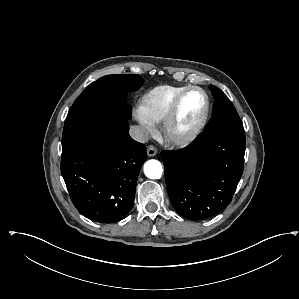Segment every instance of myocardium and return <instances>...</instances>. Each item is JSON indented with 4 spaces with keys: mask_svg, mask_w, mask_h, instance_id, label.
Returning a JSON list of instances; mask_svg holds the SVG:
<instances>
[{
    "mask_svg": "<svg viewBox=\"0 0 299 299\" xmlns=\"http://www.w3.org/2000/svg\"><path fill=\"white\" fill-rule=\"evenodd\" d=\"M198 91L204 98V109L199 119L187 130L178 131L176 123L184 98L188 93ZM210 111V99L204 89L198 86H188L182 90L173 101L165 119L163 120V133L165 139L172 145L185 146L191 143L203 130Z\"/></svg>",
    "mask_w": 299,
    "mask_h": 299,
    "instance_id": "myocardium-1",
    "label": "myocardium"
}]
</instances>
